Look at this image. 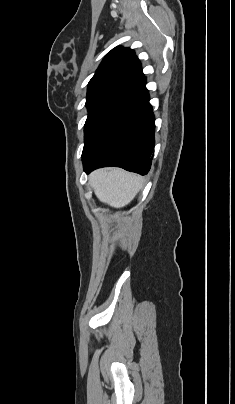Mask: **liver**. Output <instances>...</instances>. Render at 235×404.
Here are the masks:
<instances>
[{
  "label": "liver",
  "mask_w": 235,
  "mask_h": 404,
  "mask_svg": "<svg viewBox=\"0 0 235 404\" xmlns=\"http://www.w3.org/2000/svg\"><path fill=\"white\" fill-rule=\"evenodd\" d=\"M89 183L101 202L122 208L142 189L143 177L120 168H107L94 171Z\"/></svg>",
  "instance_id": "obj_1"
}]
</instances>
